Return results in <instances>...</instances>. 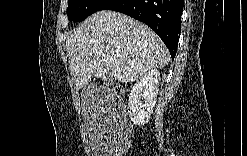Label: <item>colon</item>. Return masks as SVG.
<instances>
[{"label":"colon","instance_id":"obj_1","mask_svg":"<svg viewBox=\"0 0 247 156\" xmlns=\"http://www.w3.org/2000/svg\"><path fill=\"white\" fill-rule=\"evenodd\" d=\"M112 90L116 93V94H122L126 91V87L125 85L121 84V83H114L112 85Z\"/></svg>","mask_w":247,"mask_h":156}]
</instances>
